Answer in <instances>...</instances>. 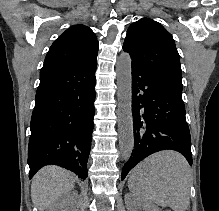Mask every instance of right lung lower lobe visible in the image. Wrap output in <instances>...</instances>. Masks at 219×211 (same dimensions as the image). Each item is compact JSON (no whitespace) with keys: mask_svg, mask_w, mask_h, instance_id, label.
Here are the masks:
<instances>
[{"mask_svg":"<svg viewBox=\"0 0 219 211\" xmlns=\"http://www.w3.org/2000/svg\"><path fill=\"white\" fill-rule=\"evenodd\" d=\"M96 65L97 62L41 69L30 125V178L48 164L87 178L94 128Z\"/></svg>","mask_w":219,"mask_h":211,"instance_id":"obj_1","label":"right lung lower lobe"}]
</instances>
